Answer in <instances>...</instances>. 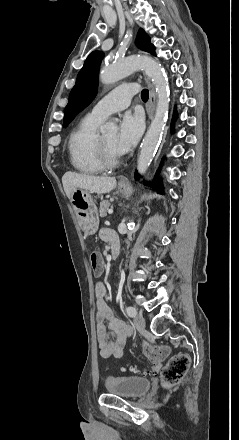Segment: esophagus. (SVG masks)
I'll list each match as a JSON object with an SVG mask.
<instances>
[{
	"instance_id": "1",
	"label": "esophagus",
	"mask_w": 239,
	"mask_h": 440,
	"mask_svg": "<svg viewBox=\"0 0 239 440\" xmlns=\"http://www.w3.org/2000/svg\"><path fill=\"white\" fill-rule=\"evenodd\" d=\"M146 82L148 84L149 87V91H150V96H149V100H150V111L148 112V116L149 119L152 118L154 111H155V106H156V92L155 89L153 87V85L150 83V81L148 79H146ZM119 183H123V184H128L129 180L126 177H121L119 179Z\"/></svg>"
}]
</instances>
